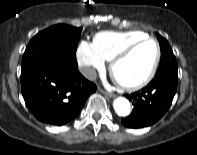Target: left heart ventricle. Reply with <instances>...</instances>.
<instances>
[{"mask_svg": "<svg viewBox=\"0 0 197 155\" xmlns=\"http://www.w3.org/2000/svg\"><path fill=\"white\" fill-rule=\"evenodd\" d=\"M155 56L154 43L141 44L116 65L114 71L116 79L127 84L139 82L149 72Z\"/></svg>", "mask_w": 197, "mask_h": 155, "instance_id": "1", "label": "left heart ventricle"}]
</instances>
